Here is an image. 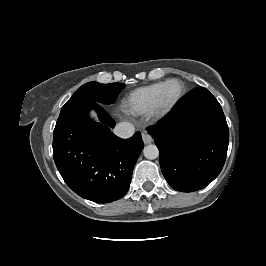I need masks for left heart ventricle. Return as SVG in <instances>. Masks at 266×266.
Returning <instances> with one entry per match:
<instances>
[{
    "instance_id": "left-heart-ventricle-1",
    "label": "left heart ventricle",
    "mask_w": 266,
    "mask_h": 266,
    "mask_svg": "<svg viewBox=\"0 0 266 266\" xmlns=\"http://www.w3.org/2000/svg\"><path fill=\"white\" fill-rule=\"evenodd\" d=\"M180 93V86L178 83H172L170 84L163 96V103L168 105L174 101V99L179 95Z\"/></svg>"
}]
</instances>
